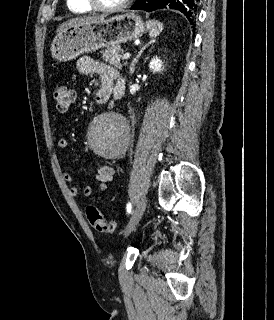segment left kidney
Segmentation results:
<instances>
[{
    "label": "left kidney",
    "mask_w": 274,
    "mask_h": 320,
    "mask_svg": "<svg viewBox=\"0 0 274 320\" xmlns=\"http://www.w3.org/2000/svg\"><path fill=\"white\" fill-rule=\"evenodd\" d=\"M149 68L151 70V72H153V74H156V72H163L164 68H163V62L162 60H159V58H152L150 64H149Z\"/></svg>",
    "instance_id": "obj_1"
}]
</instances>
